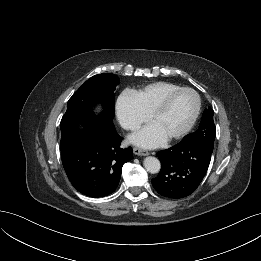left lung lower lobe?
I'll list each match as a JSON object with an SVG mask.
<instances>
[{"mask_svg":"<svg viewBox=\"0 0 261 261\" xmlns=\"http://www.w3.org/2000/svg\"><path fill=\"white\" fill-rule=\"evenodd\" d=\"M212 152L207 143L197 140H182L167 150L157 152L161 170L152 179L154 189L167 198L189 196L202 182Z\"/></svg>","mask_w":261,"mask_h":261,"instance_id":"obj_1","label":"left lung lower lobe"}]
</instances>
